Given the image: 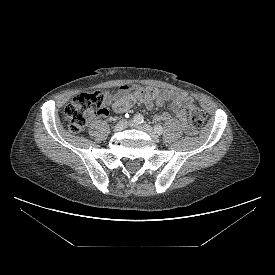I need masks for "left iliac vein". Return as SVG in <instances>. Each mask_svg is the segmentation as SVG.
<instances>
[{
    "instance_id": "4c4485c4",
    "label": "left iliac vein",
    "mask_w": 275,
    "mask_h": 275,
    "mask_svg": "<svg viewBox=\"0 0 275 275\" xmlns=\"http://www.w3.org/2000/svg\"><path fill=\"white\" fill-rule=\"evenodd\" d=\"M131 126H134L138 129L146 132L153 140H155V141L159 140L158 134L155 132V130L151 126H149L147 124L137 125L134 123H131Z\"/></svg>"
}]
</instances>
